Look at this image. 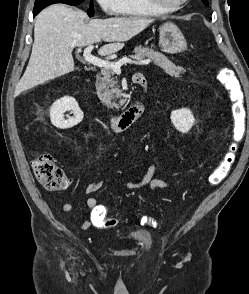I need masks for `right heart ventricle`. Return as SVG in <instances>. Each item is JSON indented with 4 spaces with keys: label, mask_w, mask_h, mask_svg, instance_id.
Here are the masks:
<instances>
[{
    "label": "right heart ventricle",
    "mask_w": 249,
    "mask_h": 294,
    "mask_svg": "<svg viewBox=\"0 0 249 294\" xmlns=\"http://www.w3.org/2000/svg\"><path fill=\"white\" fill-rule=\"evenodd\" d=\"M119 13L126 16H156L161 13L146 0H119Z\"/></svg>",
    "instance_id": "1"
}]
</instances>
